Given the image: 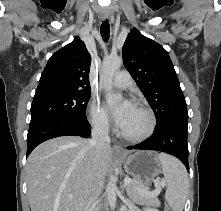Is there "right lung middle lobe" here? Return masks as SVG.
I'll list each match as a JSON object with an SVG mask.
<instances>
[{"mask_svg":"<svg viewBox=\"0 0 221 211\" xmlns=\"http://www.w3.org/2000/svg\"><path fill=\"white\" fill-rule=\"evenodd\" d=\"M90 91L44 90L35 93L31 105L30 124L46 118L86 119L85 110Z\"/></svg>","mask_w":221,"mask_h":211,"instance_id":"dd1d6c3e","label":"right lung middle lobe"}]
</instances>
